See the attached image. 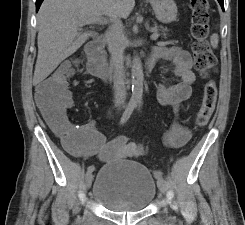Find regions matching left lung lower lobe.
Listing matches in <instances>:
<instances>
[{
	"label": "left lung lower lobe",
	"instance_id": "0a47b994",
	"mask_svg": "<svg viewBox=\"0 0 245 225\" xmlns=\"http://www.w3.org/2000/svg\"><path fill=\"white\" fill-rule=\"evenodd\" d=\"M218 2L220 3L222 10L224 11V0H218Z\"/></svg>",
	"mask_w": 245,
	"mask_h": 225
}]
</instances>
